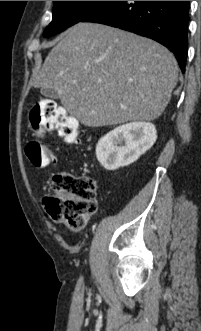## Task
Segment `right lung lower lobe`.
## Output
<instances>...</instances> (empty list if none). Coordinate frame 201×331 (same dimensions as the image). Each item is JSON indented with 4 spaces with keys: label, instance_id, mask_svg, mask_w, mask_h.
<instances>
[{
    "label": "right lung lower lobe",
    "instance_id": "98d812e1",
    "mask_svg": "<svg viewBox=\"0 0 201 331\" xmlns=\"http://www.w3.org/2000/svg\"><path fill=\"white\" fill-rule=\"evenodd\" d=\"M188 11L189 1H107L81 22L101 23L154 39L174 52L184 72Z\"/></svg>",
    "mask_w": 201,
    "mask_h": 331
}]
</instances>
